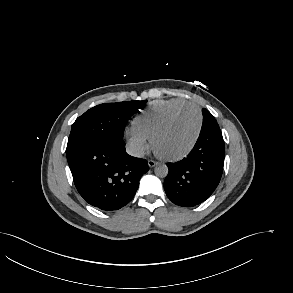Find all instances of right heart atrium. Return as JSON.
Listing matches in <instances>:
<instances>
[{"label": "right heart atrium", "mask_w": 293, "mask_h": 293, "mask_svg": "<svg viewBox=\"0 0 293 293\" xmlns=\"http://www.w3.org/2000/svg\"><path fill=\"white\" fill-rule=\"evenodd\" d=\"M126 141L130 151L136 156L144 155L149 149V141L133 129L126 133Z\"/></svg>", "instance_id": "obj_1"}]
</instances>
